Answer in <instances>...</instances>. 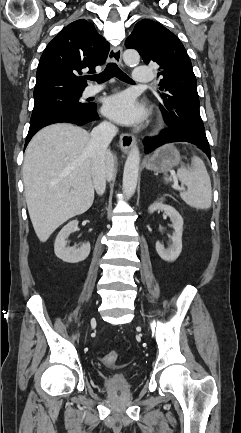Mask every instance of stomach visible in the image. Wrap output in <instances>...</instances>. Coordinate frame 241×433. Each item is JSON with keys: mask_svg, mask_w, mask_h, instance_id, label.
Segmentation results:
<instances>
[{"mask_svg": "<svg viewBox=\"0 0 241 433\" xmlns=\"http://www.w3.org/2000/svg\"><path fill=\"white\" fill-rule=\"evenodd\" d=\"M179 163V152L172 145H164L158 148L146 161L145 167L156 173H167Z\"/></svg>", "mask_w": 241, "mask_h": 433, "instance_id": "obj_1", "label": "stomach"}]
</instances>
